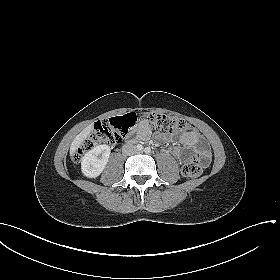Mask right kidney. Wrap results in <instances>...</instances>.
<instances>
[{
  "label": "right kidney",
  "mask_w": 280,
  "mask_h": 280,
  "mask_svg": "<svg viewBox=\"0 0 280 280\" xmlns=\"http://www.w3.org/2000/svg\"><path fill=\"white\" fill-rule=\"evenodd\" d=\"M110 147L106 144L98 145L82 157L81 171L88 178L98 177L104 170L109 156Z\"/></svg>",
  "instance_id": "1"
}]
</instances>
